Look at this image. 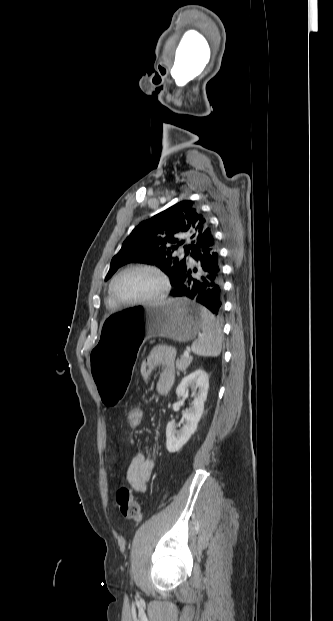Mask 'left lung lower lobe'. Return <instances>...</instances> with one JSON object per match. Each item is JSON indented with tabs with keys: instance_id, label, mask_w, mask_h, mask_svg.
Returning <instances> with one entry per match:
<instances>
[{
	"instance_id": "left-lung-lower-lobe-1",
	"label": "left lung lower lobe",
	"mask_w": 333,
	"mask_h": 621,
	"mask_svg": "<svg viewBox=\"0 0 333 621\" xmlns=\"http://www.w3.org/2000/svg\"><path fill=\"white\" fill-rule=\"evenodd\" d=\"M189 263L196 266L191 267ZM222 285L219 251L211 230L207 228L191 250L186 269L179 272L170 296L189 298L220 315L223 309Z\"/></svg>"
}]
</instances>
